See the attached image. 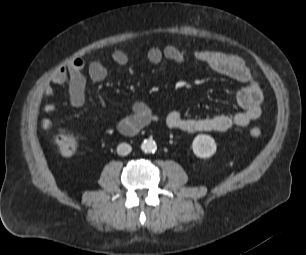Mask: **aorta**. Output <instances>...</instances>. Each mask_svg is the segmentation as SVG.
Segmentation results:
<instances>
[{
    "instance_id": "1",
    "label": "aorta",
    "mask_w": 306,
    "mask_h": 255,
    "mask_svg": "<svg viewBox=\"0 0 306 255\" xmlns=\"http://www.w3.org/2000/svg\"><path fill=\"white\" fill-rule=\"evenodd\" d=\"M141 149L144 153H154L157 149L156 142L151 139L144 140L141 144Z\"/></svg>"
}]
</instances>
